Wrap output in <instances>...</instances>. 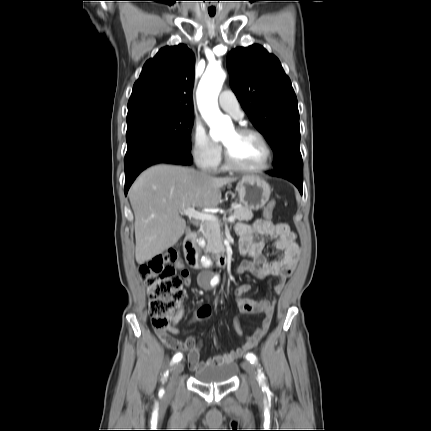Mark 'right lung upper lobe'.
<instances>
[{
  "label": "right lung upper lobe",
  "mask_w": 431,
  "mask_h": 431,
  "mask_svg": "<svg viewBox=\"0 0 431 431\" xmlns=\"http://www.w3.org/2000/svg\"><path fill=\"white\" fill-rule=\"evenodd\" d=\"M194 63L186 45L160 49L144 64L133 86L127 118L152 112L193 114Z\"/></svg>",
  "instance_id": "right-lung-upper-lobe-1"
}]
</instances>
